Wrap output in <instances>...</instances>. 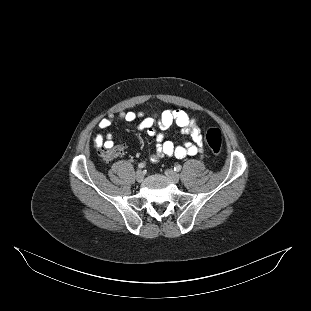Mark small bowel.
I'll return each mask as SVG.
<instances>
[{
    "label": "small bowel",
    "mask_w": 311,
    "mask_h": 311,
    "mask_svg": "<svg viewBox=\"0 0 311 311\" xmlns=\"http://www.w3.org/2000/svg\"><path fill=\"white\" fill-rule=\"evenodd\" d=\"M120 118L127 122H132L138 118L141 122L137 128L144 130L147 134L154 138L155 151L151 155V161L157 162L163 157H175L183 159L187 156H196L201 154L204 149V144L196 120L190 117L183 110H164L161 114L145 115L136 112L120 113ZM113 116L109 115L103 118L99 124V129H106L111 126ZM177 125L181 132L190 137V140L182 145H174L173 142L165 140L163 131L167 130L172 125ZM93 143L96 147L102 145H112L113 141L110 136H103L101 133H95L93 136Z\"/></svg>",
    "instance_id": "1"
}]
</instances>
